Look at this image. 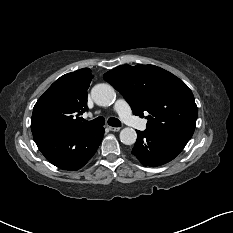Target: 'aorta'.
<instances>
[{
    "mask_svg": "<svg viewBox=\"0 0 233 233\" xmlns=\"http://www.w3.org/2000/svg\"><path fill=\"white\" fill-rule=\"evenodd\" d=\"M93 100L97 105L109 106L116 97L114 88L109 84H98L91 90ZM137 134L133 128H124L120 132V141L125 145H132L136 142Z\"/></svg>",
    "mask_w": 233,
    "mask_h": 233,
    "instance_id": "aorta-1",
    "label": "aorta"
}]
</instances>
